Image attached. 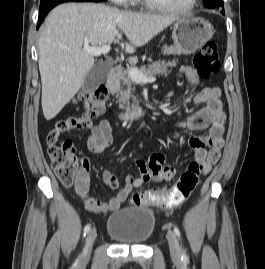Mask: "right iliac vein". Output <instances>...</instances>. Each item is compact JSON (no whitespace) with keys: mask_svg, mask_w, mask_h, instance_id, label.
Wrapping results in <instances>:
<instances>
[{"mask_svg":"<svg viewBox=\"0 0 265 269\" xmlns=\"http://www.w3.org/2000/svg\"><path fill=\"white\" fill-rule=\"evenodd\" d=\"M95 238H96V229L93 228L88 232L87 237H86L85 247L83 251V258L85 260L89 259L90 257Z\"/></svg>","mask_w":265,"mask_h":269,"instance_id":"obj_1","label":"right iliac vein"}]
</instances>
